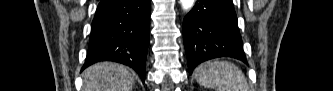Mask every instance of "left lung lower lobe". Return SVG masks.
<instances>
[{
  "instance_id": "left-lung-lower-lobe-1",
  "label": "left lung lower lobe",
  "mask_w": 333,
  "mask_h": 91,
  "mask_svg": "<svg viewBox=\"0 0 333 91\" xmlns=\"http://www.w3.org/2000/svg\"><path fill=\"white\" fill-rule=\"evenodd\" d=\"M183 37L190 74L213 58L246 62L232 0H198L184 18Z\"/></svg>"
}]
</instances>
